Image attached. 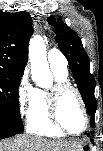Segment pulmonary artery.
<instances>
[{"instance_id": "obj_1", "label": "pulmonary artery", "mask_w": 103, "mask_h": 151, "mask_svg": "<svg viewBox=\"0 0 103 151\" xmlns=\"http://www.w3.org/2000/svg\"><path fill=\"white\" fill-rule=\"evenodd\" d=\"M48 62L51 67L67 71V59L62 52L56 48H53L48 52Z\"/></svg>"}]
</instances>
